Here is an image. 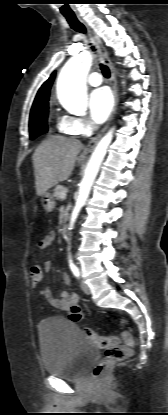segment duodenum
I'll use <instances>...</instances> for the list:
<instances>
[{
  "label": "duodenum",
  "instance_id": "1",
  "mask_svg": "<svg viewBox=\"0 0 168 415\" xmlns=\"http://www.w3.org/2000/svg\"><path fill=\"white\" fill-rule=\"evenodd\" d=\"M68 223H65L63 226H62V228H61V234L62 235H66L67 234V232H68Z\"/></svg>",
  "mask_w": 168,
  "mask_h": 415
}]
</instances>
